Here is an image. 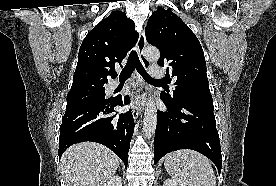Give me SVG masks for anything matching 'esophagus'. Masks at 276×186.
Instances as JSON below:
<instances>
[{"mask_svg": "<svg viewBox=\"0 0 276 186\" xmlns=\"http://www.w3.org/2000/svg\"><path fill=\"white\" fill-rule=\"evenodd\" d=\"M145 46H146V38H145L144 31H142L139 34V38H138V42H137V51H138V54H139L140 61H141L142 65L145 68H147L149 66L150 62L148 61V59L144 55ZM142 88H143L142 79L139 76H137V82H136V85H135V92H139ZM140 114H141V108L138 106V104L136 102H134L133 107H132L133 119L136 121Z\"/></svg>", "mask_w": 276, "mask_h": 186, "instance_id": "34e87169", "label": "esophagus"}]
</instances>
